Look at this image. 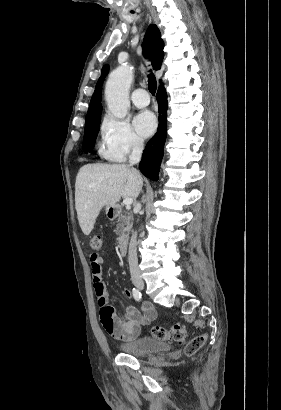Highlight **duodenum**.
Listing matches in <instances>:
<instances>
[{"label": "duodenum", "instance_id": "obj_1", "mask_svg": "<svg viewBox=\"0 0 281 410\" xmlns=\"http://www.w3.org/2000/svg\"><path fill=\"white\" fill-rule=\"evenodd\" d=\"M117 214H118V211L114 209V210L111 212L110 217L113 219V218H115V217L117 216ZM118 246H119V252H120V254H121L122 256H125V255L127 254V249H128V239H127L126 237H122V238L119 240Z\"/></svg>", "mask_w": 281, "mask_h": 410}]
</instances>
